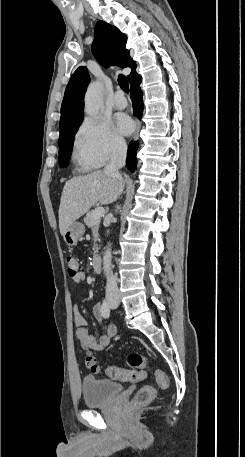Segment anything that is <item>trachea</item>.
Segmentation results:
<instances>
[{"mask_svg": "<svg viewBox=\"0 0 245 457\" xmlns=\"http://www.w3.org/2000/svg\"><path fill=\"white\" fill-rule=\"evenodd\" d=\"M118 83H119L120 87L122 88V90H124V92H126V93L129 92V84H128V80L126 79L125 76L120 75L118 77Z\"/></svg>", "mask_w": 245, "mask_h": 457, "instance_id": "obj_1", "label": "trachea"}]
</instances>
